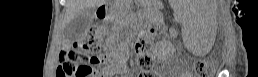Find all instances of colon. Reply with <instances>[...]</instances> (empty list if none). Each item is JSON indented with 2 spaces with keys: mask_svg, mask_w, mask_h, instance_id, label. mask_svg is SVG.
<instances>
[{
  "mask_svg": "<svg viewBox=\"0 0 258 77\" xmlns=\"http://www.w3.org/2000/svg\"><path fill=\"white\" fill-rule=\"evenodd\" d=\"M106 32L101 27L90 29L73 46L67 47L60 52V65L57 69V77H97L100 69L101 58L95 56L102 47ZM157 37L155 29L148 34L139 36L134 42L137 54V64L141 70H148L153 65L150 53L151 40ZM215 62L209 58L198 60L195 71L198 76H209Z\"/></svg>",
  "mask_w": 258,
  "mask_h": 77,
  "instance_id": "colon-1",
  "label": "colon"
}]
</instances>
